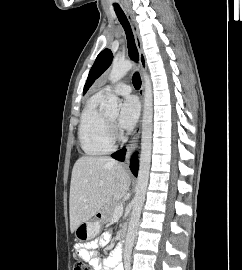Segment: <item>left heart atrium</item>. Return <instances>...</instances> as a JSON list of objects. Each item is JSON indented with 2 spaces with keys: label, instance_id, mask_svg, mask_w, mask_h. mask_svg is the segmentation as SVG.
<instances>
[{
  "label": "left heart atrium",
  "instance_id": "obj_1",
  "mask_svg": "<svg viewBox=\"0 0 242 270\" xmlns=\"http://www.w3.org/2000/svg\"><path fill=\"white\" fill-rule=\"evenodd\" d=\"M140 114V104L136 97L125 98L121 105L119 125L124 129H132Z\"/></svg>",
  "mask_w": 242,
  "mask_h": 270
}]
</instances>
